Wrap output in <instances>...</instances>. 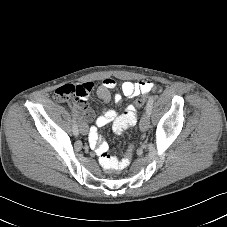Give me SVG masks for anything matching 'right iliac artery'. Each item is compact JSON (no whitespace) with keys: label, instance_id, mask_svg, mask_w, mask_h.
Masks as SVG:
<instances>
[{"label":"right iliac artery","instance_id":"1","mask_svg":"<svg viewBox=\"0 0 227 227\" xmlns=\"http://www.w3.org/2000/svg\"><path fill=\"white\" fill-rule=\"evenodd\" d=\"M72 116H73V127H72V131H73V134L75 135V136H77L78 135V126H77V124H76V115L74 114V112L72 111Z\"/></svg>","mask_w":227,"mask_h":227}]
</instances>
